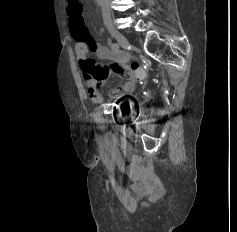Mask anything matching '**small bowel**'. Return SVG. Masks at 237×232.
I'll return each mask as SVG.
<instances>
[{"mask_svg": "<svg viewBox=\"0 0 237 232\" xmlns=\"http://www.w3.org/2000/svg\"><path fill=\"white\" fill-rule=\"evenodd\" d=\"M72 33L75 39V53L79 62V68L86 83L88 95L92 101H103L100 86L111 75H118L125 79V83L121 87L111 91L112 97L120 98L134 90V75L126 65L125 58L119 52L98 43L91 36L87 28L82 34L76 33L73 30ZM91 52L95 53L99 58L110 60L113 63L108 67L98 64L88 56Z\"/></svg>", "mask_w": 237, "mask_h": 232, "instance_id": "c3829d8e", "label": "small bowel"}]
</instances>
